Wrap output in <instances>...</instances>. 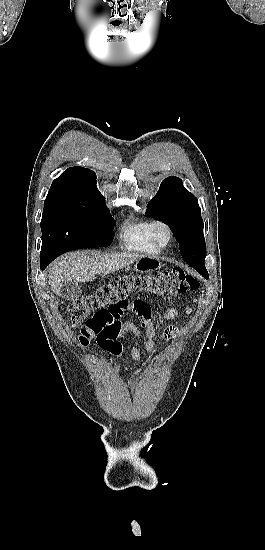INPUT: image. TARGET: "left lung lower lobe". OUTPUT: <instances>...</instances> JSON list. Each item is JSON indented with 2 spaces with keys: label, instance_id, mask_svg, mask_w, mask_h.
Wrapping results in <instances>:
<instances>
[{
  "label": "left lung lower lobe",
  "instance_id": "obj_1",
  "mask_svg": "<svg viewBox=\"0 0 265 550\" xmlns=\"http://www.w3.org/2000/svg\"><path fill=\"white\" fill-rule=\"evenodd\" d=\"M193 267L194 269H196V271H198L204 278L208 279L209 276H208V272L205 268V265H201V266H198V265H194V266H191Z\"/></svg>",
  "mask_w": 265,
  "mask_h": 550
}]
</instances>
